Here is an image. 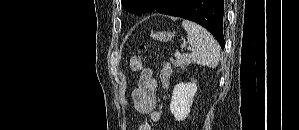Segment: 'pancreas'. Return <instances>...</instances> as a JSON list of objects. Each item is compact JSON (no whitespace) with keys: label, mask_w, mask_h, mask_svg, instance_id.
Listing matches in <instances>:
<instances>
[{"label":"pancreas","mask_w":299,"mask_h":130,"mask_svg":"<svg viewBox=\"0 0 299 130\" xmlns=\"http://www.w3.org/2000/svg\"><path fill=\"white\" fill-rule=\"evenodd\" d=\"M171 61L175 67H187L191 64V58L188 55H180Z\"/></svg>","instance_id":"pancreas-1"}]
</instances>
